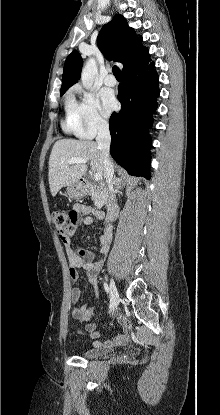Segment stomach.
Returning a JSON list of instances; mask_svg holds the SVG:
<instances>
[{
    "label": "stomach",
    "mask_w": 220,
    "mask_h": 415,
    "mask_svg": "<svg viewBox=\"0 0 220 415\" xmlns=\"http://www.w3.org/2000/svg\"><path fill=\"white\" fill-rule=\"evenodd\" d=\"M67 193L71 198H81L86 195L87 187L82 182H76L67 186Z\"/></svg>",
    "instance_id": "obj_1"
}]
</instances>
